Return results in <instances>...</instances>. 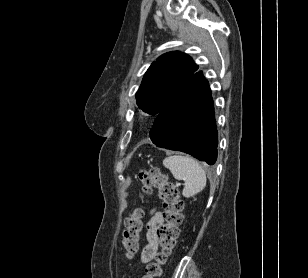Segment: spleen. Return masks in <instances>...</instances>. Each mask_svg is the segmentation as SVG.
I'll return each instance as SVG.
<instances>
[{
    "mask_svg": "<svg viewBox=\"0 0 308 278\" xmlns=\"http://www.w3.org/2000/svg\"><path fill=\"white\" fill-rule=\"evenodd\" d=\"M163 165L171 171L175 179L185 181L182 191L184 197L190 198L205 188V171L195 159L189 156L172 155L163 160Z\"/></svg>",
    "mask_w": 308,
    "mask_h": 278,
    "instance_id": "3e777b00",
    "label": "spleen"
}]
</instances>
